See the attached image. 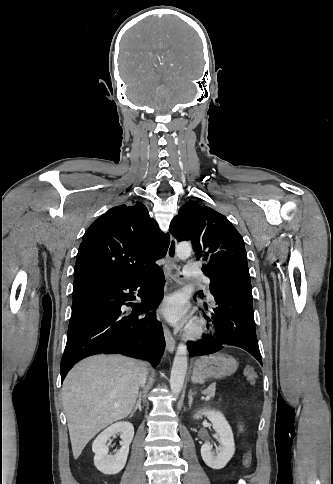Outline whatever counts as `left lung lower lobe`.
Wrapping results in <instances>:
<instances>
[{
	"label": "left lung lower lobe",
	"mask_w": 333,
	"mask_h": 484,
	"mask_svg": "<svg viewBox=\"0 0 333 484\" xmlns=\"http://www.w3.org/2000/svg\"><path fill=\"white\" fill-rule=\"evenodd\" d=\"M208 277L217 307H206L204 317L214 324L215 332L197 342H189L190 356L215 353L231 345L248 351L262 365L247 261H242L240 256L222 258Z\"/></svg>",
	"instance_id": "0a47b994"
}]
</instances>
